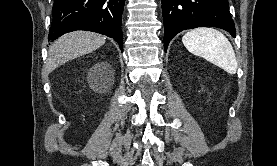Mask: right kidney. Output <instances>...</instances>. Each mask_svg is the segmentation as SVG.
Returning a JSON list of instances; mask_svg holds the SVG:
<instances>
[{"label":"right kidney","instance_id":"1","mask_svg":"<svg viewBox=\"0 0 277 166\" xmlns=\"http://www.w3.org/2000/svg\"><path fill=\"white\" fill-rule=\"evenodd\" d=\"M102 67V64L101 65H98V68L100 69Z\"/></svg>","mask_w":277,"mask_h":166}]
</instances>
